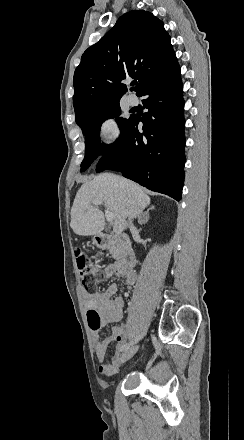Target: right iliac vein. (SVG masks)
Here are the masks:
<instances>
[{
  "label": "right iliac vein",
  "instance_id": "obj_1",
  "mask_svg": "<svg viewBox=\"0 0 244 440\" xmlns=\"http://www.w3.org/2000/svg\"><path fill=\"white\" fill-rule=\"evenodd\" d=\"M137 351H138V346H132L129 349L125 350L121 354V356L119 358V362L124 363V362L130 360Z\"/></svg>",
  "mask_w": 244,
  "mask_h": 440
}]
</instances>
